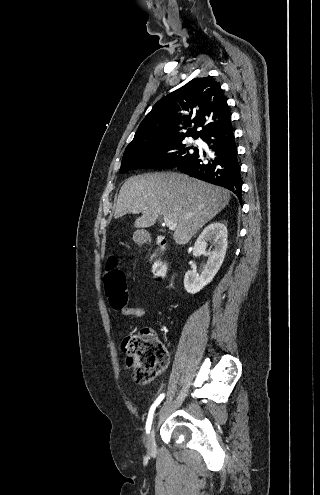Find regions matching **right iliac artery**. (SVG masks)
Segmentation results:
<instances>
[{"label":"right iliac artery","instance_id":"1","mask_svg":"<svg viewBox=\"0 0 320 495\" xmlns=\"http://www.w3.org/2000/svg\"><path fill=\"white\" fill-rule=\"evenodd\" d=\"M164 397H165V394L164 393L161 394L155 400V402L153 403V405L150 408V411H149V414H148V418H147V421H146V432L147 433H149L150 432V429H151V424H152L153 414H154L155 408L160 404V402L164 399Z\"/></svg>","mask_w":320,"mask_h":495}]
</instances>
